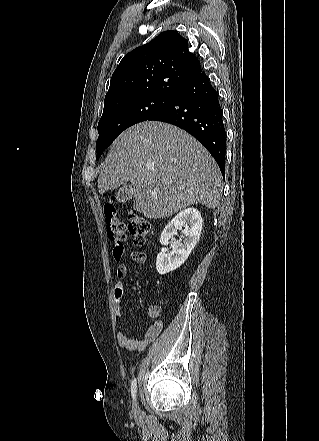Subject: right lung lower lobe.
Returning <instances> with one entry per match:
<instances>
[{"label": "right lung lower lobe", "instance_id": "right-lung-lower-lobe-1", "mask_svg": "<svg viewBox=\"0 0 319 441\" xmlns=\"http://www.w3.org/2000/svg\"><path fill=\"white\" fill-rule=\"evenodd\" d=\"M219 95L205 72L185 83L168 105L148 120L173 124L202 143L225 171L226 132Z\"/></svg>", "mask_w": 319, "mask_h": 441}]
</instances>
